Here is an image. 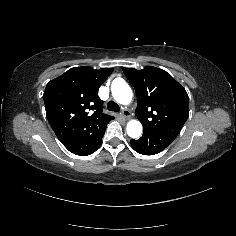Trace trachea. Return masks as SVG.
Segmentation results:
<instances>
[{
  "mask_svg": "<svg viewBox=\"0 0 236 236\" xmlns=\"http://www.w3.org/2000/svg\"><path fill=\"white\" fill-rule=\"evenodd\" d=\"M107 109L109 111H114V112H119L120 108L118 106L117 103H115L114 101H109L108 104H107Z\"/></svg>",
  "mask_w": 236,
  "mask_h": 236,
  "instance_id": "obj_1",
  "label": "trachea"
}]
</instances>
